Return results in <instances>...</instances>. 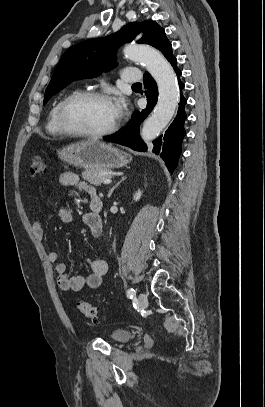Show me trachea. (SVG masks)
Here are the masks:
<instances>
[{
    "mask_svg": "<svg viewBox=\"0 0 265 407\" xmlns=\"http://www.w3.org/2000/svg\"><path fill=\"white\" fill-rule=\"evenodd\" d=\"M141 85V83H135V84H133V86H140Z\"/></svg>",
    "mask_w": 265,
    "mask_h": 407,
    "instance_id": "trachea-1",
    "label": "trachea"
}]
</instances>
